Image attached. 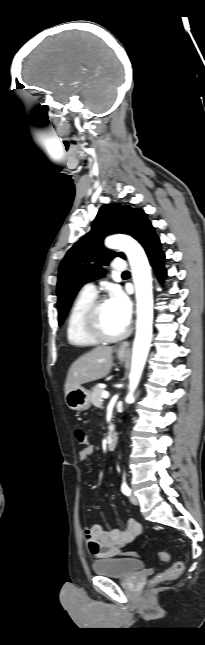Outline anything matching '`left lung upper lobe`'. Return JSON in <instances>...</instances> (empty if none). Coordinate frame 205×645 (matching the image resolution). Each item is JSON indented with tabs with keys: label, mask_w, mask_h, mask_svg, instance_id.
Listing matches in <instances>:
<instances>
[{
	"label": "left lung upper lobe",
	"mask_w": 205,
	"mask_h": 645,
	"mask_svg": "<svg viewBox=\"0 0 205 645\" xmlns=\"http://www.w3.org/2000/svg\"><path fill=\"white\" fill-rule=\"evenodd\" d=\"M151 226L147 214L140 208L114 203L99 209L90 232L69 249L60 264L57 283L59 325H62L79 289L85 283L100 278L106 272L102 266L115 256L125 258L123 253L104 248L102 241L105 236L123 233L140 242Z\"/></svg>",
	"instance_id": "left-lung-upper-lobe-1"
}]
</instances>
